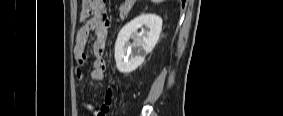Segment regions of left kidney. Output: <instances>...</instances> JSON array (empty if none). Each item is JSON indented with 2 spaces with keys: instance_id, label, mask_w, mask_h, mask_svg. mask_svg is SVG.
<instances>
[{
  "instance_id": "5707ae66",
  "label": "left kidney",
  "mask_w": 283,
  "mask_h": 116,
  "mask_svg": "<svg viewBox=\"0 0 283 116\" xmlns=\"http://www.w3.org/2000/svg\"><path fill=\"white\" fill-rule=\"evenodd\" d=\"M146 26V35H138L137 30ZM162 30V19L155 14H142L127 23L119 32L115 43V61L119 72L127 74L137 69L158 42ZM133 43L128 45L130 37Z\"/></svg>"
}]
</instances>
